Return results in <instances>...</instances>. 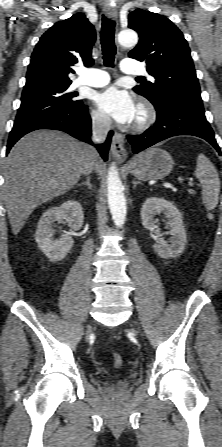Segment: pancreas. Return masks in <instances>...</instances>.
<instances>
[{"instance_id":"pancreas-1","label":"pancreas","mask_w":222,"mask_h":447,"mask_svg":"<svg viewBox=\"0 0 222 447\" xmlns=\"http://www.w3.org/2000/svg\"><path fill=\"white\" fill-rule=\"evenodd\" d=\"M188 192H189L190 194H195V191H193V190H188Z\"/></svg>"}]
</instances>
